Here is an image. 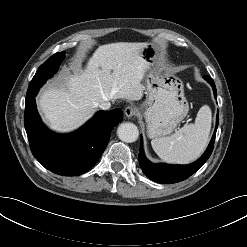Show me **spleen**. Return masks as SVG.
<instances>
[{
  "mask_svg": "<svg viewBox=\"0 0 247 247\" xmlns=\"http://www.w3.org/2000/svg\"><path fill=\"white\" fill-rule=\"evenodd\" d=\"M211 121V109L204 105L199 109L194 123L184 125L171 136L153 139L152 148L165 162H192L204 152L208 144Z\"/></svg>",
  "mask_w": 247,
  "mask_h": 247,
  "instance_id": "3e777b00",
  "label": "spleen"
}]
</instances>
